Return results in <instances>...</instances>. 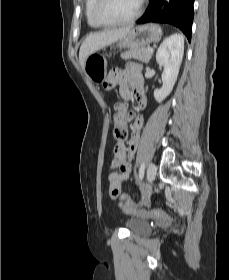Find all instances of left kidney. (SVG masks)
I'll use <instances>...</instances> for the list:
<instances>
[{
	"label": "left kidney",
	"mask_w": 229,
	"mask_h": 280,
	"mask_svg": "<svg viewBox=\"0 0 229 280\" xmlns=\"http://www.w3.org/2000/svg\"><path fill=\"white\" fill-rule=\"evenodd\" d=\"M184 54V38L175 33L167 37L158 48L156 61L163 67L162 87L154 90L156 101H163L172 91L178 77Z\"/></svg>",
	"instance_id": "obj_1"
}]
</instances>
